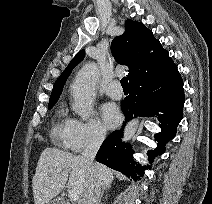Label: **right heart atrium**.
<instances>
[{
	"mask_svg": "<svg viewBox=\"0 0 212 204\" xmlns=\"http://www.w3.org/2000/svg\"><path fill=\"white\" fill-rule=\"evenodd\" d=\"M106 137V131L95 118L87 120L71 119L66 146L73 152L100 144Z\"/></svg>",
	"mask_w": 212,
	"mask_h": 204,
	"instance_id": "d8ad5b80",
	"label": "right heart atrium"
}]
</instances>
